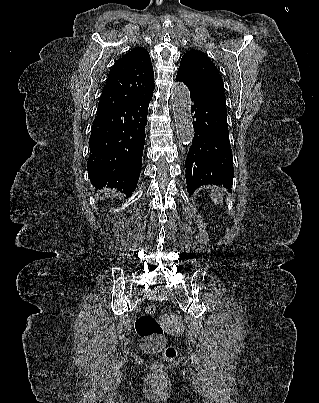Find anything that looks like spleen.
<instances>
[{"label":"spleen","mask_w":319,"mask_h":403,"mask_svg":"<svg viewBox=\"0 0 319 403\" xmlns=\"http://www.w3.org/2000/svg\"><path fill=\"white\" fill-rule=\"evenodd\" d=\"M210 197L216 204H222V202H223V195L217 189L212 190Z\"/></svg>","instance_id":"1"}]
</instances>
